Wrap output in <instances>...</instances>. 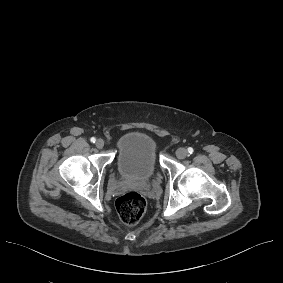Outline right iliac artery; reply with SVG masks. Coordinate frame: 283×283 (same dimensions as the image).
Returning a JSON list of instances; mask_svg holds the SVG:
<instances>
[{"instance_id": "right-iliac-artery-1", "label": "right iliac artery", "mask_w": 283, "mask_h": 283, "mask_svg": "<svg viewBox=\"0 0 283 283\" xmlns=\"http://www.w3.org/2000/svg\"><path fill=\"white\" fill-rule=\"evenodd\" d=\"M90 141H91L92 143H95L96 139H95L94 137H92V138L90 139Z\"/></svg>"}]
</instances>
